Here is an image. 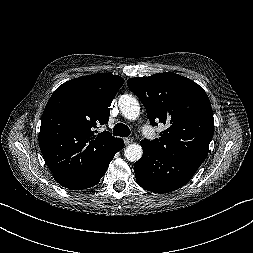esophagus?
<instances>
[{
  "mask_svg": "<svg viewBox=\"0 0 253 253\" xmlns=\"http://www.w3.org/2000/svg\"><path fill=\"white\" fill-rule=\"evenodd\" d=\"M123 140H124L125 145H129L130 143L133 142V139L130 138V137H126V138H124Z\"/></svg>",
  "mask_w": 253,
  "mask_h": 253,
  "instance_id": "34e87169",
  "label": "esophagus"
}]
</instances>
